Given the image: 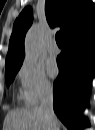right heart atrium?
<instances>
[{
  "mask_svg": "<svg viewBox=\"0 0 95 130\" xmlns=\"http://www.w3.org/2000/svg\"><path fill=\"white\" fill-rule=\"evenodd\" d=\"M23 97L29 104H35L52 92V84L39 64L23 63L18 71Z\"/></svg>",
  "mask_w": 95,
  "mask_h": 130,
  "instance_id": "obj_1",
  "label": "right heart atrium"
}]
</instances>
